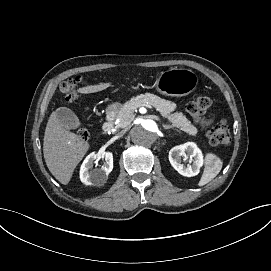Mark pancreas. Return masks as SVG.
<instances>
[{
    "label": "pancreas",
    "instance_id": "cf45deb5",
    "mask_svg": "<svg viewBox=\"0 0 271 271\" xmlns=\"http://www.w3.org/2000/svg\"><path fill=\"white\" fill-rule=\"evenodd\" d=\"M143 99L142 103H150L153 108H156L162 116L168 117L169 121L172 122V125L180 128L182 131L195 135L197 133V128L191 124V122L182 114L174 113L169 115V112H175L177 107L173 102L162 99L153 94H145L133 99L129 102H126L119 110L117 118L119 119L118 128H125L130 125L134 119V111L138 107L137 100Z\"/></svg>",
    "mask_w": 271,
    "mask_h": 271
}]
</instances>
